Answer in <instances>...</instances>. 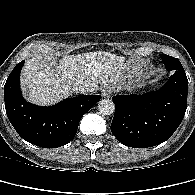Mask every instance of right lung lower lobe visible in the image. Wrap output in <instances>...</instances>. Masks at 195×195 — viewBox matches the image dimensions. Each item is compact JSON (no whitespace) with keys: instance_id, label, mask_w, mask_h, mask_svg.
Masks as SVG:
<instances>
[{"instance_id":"obj_1","label":"right lung lower lobe","mask_w":195,"mask_h":195,"mask_svg":"<svg viewBox=\"0 0 195 195\" xmlns=\"http://www.w3.org/2000/svg\"><path fill=\"white\" fill-rule=\"evenodd\" d=\"M18 63L4 86L5 109L16 132L26 141L43 147L56 148L69 143L76 135L82 116L101 99L100 95H84L40 107L28 103L20 92Z\"/></svg>"}]
</instances>
